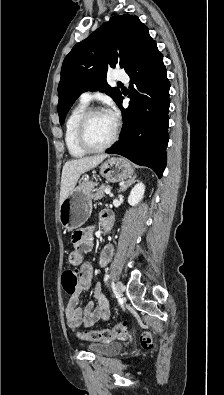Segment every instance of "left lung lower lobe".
<instances>
[{
    "label": "left lung lower lobe",
    "instance_id": "1",
    "mask_svg": "<svg viewBox=\"0 0 224 395\" xmlns=\"http://www.w3.org/2000/svg\"><path fill=\"white\" fill-rule=\"evenodd\" d=\"M131 83L129 107L117 105L124 125L120 140L106 153L122 155L136 164L150 167L161 178L166 166L169 125V88L163 55L153 41L127 72Z\"/></svg>",
    "mask_w": 224,
    "mask_h": 395
}]
</instances>
